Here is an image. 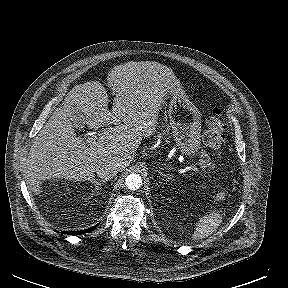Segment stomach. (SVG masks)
<instances>
[{
    "label": "stomach",
    "mask_w": 288,
    "mask_h": 288,
    "mask_svg": "<svg viewBox=\"0 0 288 288\" xmlns=\"http://www.w3.org/2000/svg\"><path fill=\"white\" fill-rule=\"evenodd\" d=\"M168 116L179 151L189 157L195 156L201 148V115L187 98L182 84L171 95Z\"/></svg>",
    "instance_id": "obj_1"
}]
</instances>
